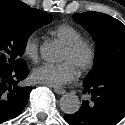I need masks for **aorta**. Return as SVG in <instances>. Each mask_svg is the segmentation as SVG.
<instances>
[{
    "instance_id": "762f6f07",
    "label": "aorta",
    "mask_w": 125,
    "mask_h": 125,
    "mask_svg": "<svg viewBox=\"0 0 125 125\" xmlns=\"http://www.w3.org/2000/svg\"><path fill=\"white\" fill-rule=\"evenodd\" d=\"M40 54L45 61L57 62L61 56V49L57 42L48 41L41 45ZM80 106L78 96L73 93H67L60 99V108L66 114L76 113Z\"/></svg>"
}]
</instances>
